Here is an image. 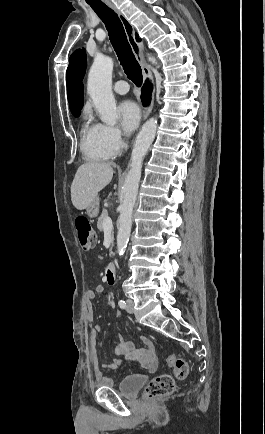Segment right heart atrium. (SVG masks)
<instances>
[{
  "label": "right heart atrium",
  "mask_w": 265,
  "mask_h": 434,
  "mask_svg": "<svg viewBox=\"0 0 265 434\" xmlns=\"http://www.w3.org/2000/svg\"><path fill=\"white\" fill-rule=\"evenodd\" d=\"M104 127V132L101 133L102 141H112V145H107L105 151L107 154H123L124 145L128 140L127 132H119L118 125H105V121H100L99 128Z\"/></svg>",
  "instance_id": "right-heart-atrium-1"
}]
</instances>
